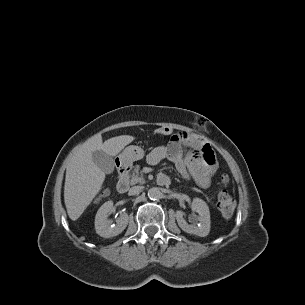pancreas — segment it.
<instances>
[{
  "instance_id": "obj_1",
  "label": "pancreas",
  "mask_w": 305,
  "mask_h": 305,
  "mask_svg": "<svg viewBox=\"0 0 305 305\" xmlns=\"http://www.w3.org/2000/svg\"><path fill=\"white\" fill-rule=\"evenodd\" d=\"M127 180L131 185H135L137 183L144 184L145 179L143 177V174L140 172V166H135L134 170L132 171V174L127 177Z\"/></svg>"
}]
</instances>
